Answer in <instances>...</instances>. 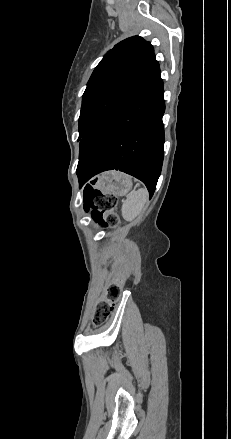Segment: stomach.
<instances>
[{
    "label": "stomach",
    "instance_id": "obj_1",
    "mask_svg": "<svg viewBox=\"0 0 231 439\" xmlns=\"http://www.w3.org/2000/svg\"><path fill=\"white\" fill-rule=\"evenodd\" d=\"M96 186L104 194L123 196L130 191L132 180L129 176L121 172L110 171L103 173L98 177Z\"/></svg>",
    "mask_w": 231,
    "mask_h": 439
}]
</instances>
